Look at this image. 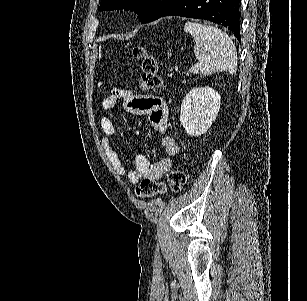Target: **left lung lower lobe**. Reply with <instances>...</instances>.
Segmentation results:
<instances>
[{
  "label": "left lung lower lobe",
  "mask_w": 307,
  "mask_h": 301,
  "mask_svg": "<svg viewBox=\"0 0 307 301\" xmlns=\"http://www.w3.org/2000/svg\"><path fill=\"white\" fill-rule=\"evenodd\" d=\"M239 6V0H175L158 18L182 16L205 19L227 27L241 42Z\"/></svg>",
  "instance_id": "left-lung-lower-lobe-1"
}]
</instances>
